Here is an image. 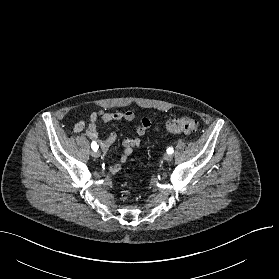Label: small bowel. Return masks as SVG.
Masks as SVG:
<instances>
[{
  "label": "small bowel",
  "mask_w": 279,
  "mask_h": 279,
  "mask_svg": "<svg viewBox=\"0 0 279 279\" xmlns=\"http://www.w3.org/2000/svg\"><path fill=\"white\" fill-rule=\"evenodd\" d=\"M135 113L131 110L127 111H104L98 110L93 111L89 117V123L86 124L83 121H78L74 125L75 132H85V134L93 140V142L98 143L99 147L104 153H107L115 142L117 135L115 132H111L106 138H99L97 132V124L99 121L111 122L124 120L126 122H133L135 120ZM151 127V120L148 117H143L135 125V136L126 138L123 140V152L118 163H115L109 167L111 173H117L121 170L122 165L128 160L132 155L133 151L140 146L141 138L146 134V132Z\"/></svg>",
  "instance_id": "small-bowel-1"
}]
</instances>
